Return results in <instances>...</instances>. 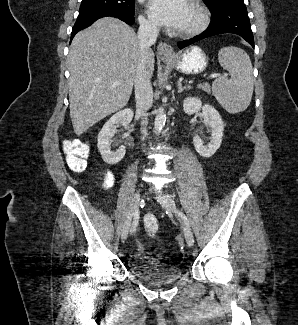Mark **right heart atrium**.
Listing matches in <instances>:
<instances>
[{"label": "right heart atrium", "instance_id": "right-heart-atrium-1", "mask_svg": "<svg viewBox=\"0 0 298 325\" xmlns=\"http://www.w3.org/2000/svg\"><path fill=\"white\" fill-rule=\"evenodd\" d=\"M141 26L143 30H156L154 24L146 17H141Z\"/></svg>", "mask_w": 298, "mask_h": 325}]
</instances>
